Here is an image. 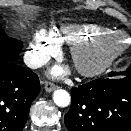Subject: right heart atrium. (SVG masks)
<instances>
[{
  "mask_svg": "<svg viewBox=\"0 0 131 131\" xmlns=\"http://www.w3.org/2000/svg\"><path fill=\"white\" fill-rule=\"evenodd\" d=\"M58 51L59 47L50 36V33L46 30H40L29 44L26 59L30 66H35Z\"/></svg>",
  "mask_w": 131,
  "mask_h": 131,
  "instance_id": "1",
  "label": "right heart atrium"
}]
</instances>
